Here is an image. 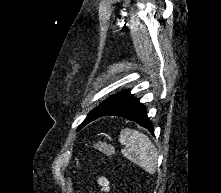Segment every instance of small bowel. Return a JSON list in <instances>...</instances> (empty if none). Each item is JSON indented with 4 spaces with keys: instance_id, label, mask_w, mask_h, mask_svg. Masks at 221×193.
Listing matches in <instances>:
<instances>
[{
    "instance_id": "1",
    "label": "small bowel",
    "mask_w": 221,
    "mask_h": 193,
    "mask_svg": "<svg viewBox=\"0 0 221 193\" xmlns=\"http://www.w3.org/2000/svg\"><path fill=\"white\" fill-rule=\"evenodd\" d=\"M97 182L104 193H108L110 191V183L106 177L100 176Z\"/></svg>"
}]
</instances>
